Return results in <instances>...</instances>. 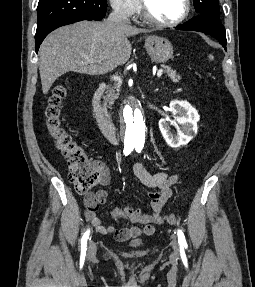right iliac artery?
I'll use <instances>...</instances> for the list:
<instances>
[{
	"mask_svg": "<svg viewBox=\"0 0 255 287\" xmlns=\"http://www.w3.org/2000/svg\"><path fill=\"white\" fill-rule=\"evenodd\" d=\"M132 150H133L132 148H126L124 150V154L127 156L129 155V153H131ZM89 234H90V230H87L81 239V249L83 252L86 251L87 239L89 238Z\"/></svg>",
	"mask_w": 255,
	"mask_h": 287,
	"instance_id": "1",
	"label": "right iliac artery"
}]
</instances>
